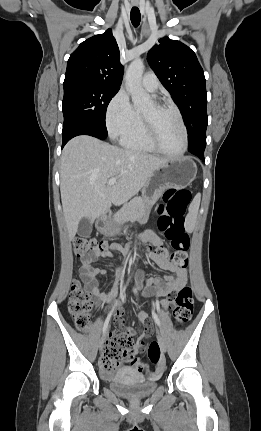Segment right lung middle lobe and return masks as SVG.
<instances>
[{
    "instance_id": "obj_1",
    "label": "right lung middle lobe",
    "mask_w": 261,
    "mask_h": 431,
    "mask_svg": "<svg viewBox=\"0 0 261 431\" xmlns=\"http://www.w3.org/2000/svg\"><path fill=\"white\" fill-rule=\"evenodd\" d=\"M118 91L89 79L64 80V124L78 123L86 130L84 134L105 139L107 106Z\"/></svg>"
}]
</instances>
